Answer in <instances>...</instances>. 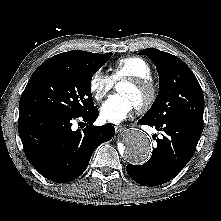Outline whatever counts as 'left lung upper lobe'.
Wrapping results in <instances>:
<instances>
[{"instance_id": "5c2ea615", "label": "left lung upper lobe", "mask_w": 221, "mask_h": 221, "mask_svg": "<svg viewBox=\"0 0 221 221\" xmlns=\"http://www.w3.org/2000/svg\"><path fill=\"white\" fill-rule=\"evenodd\" d=\"M140 54L153 61L160 81L158 96L143 118L158 123L171 117H183L203 124V91L186 63L153 48L143 49Z\"/></svg>"}]
</instances>
